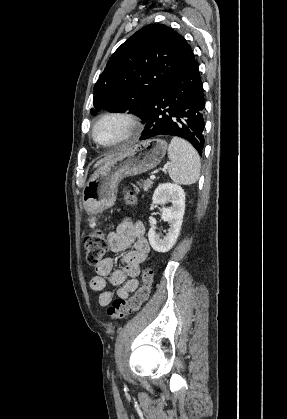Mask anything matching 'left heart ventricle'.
Instances as JSON below:
<instances>
[{"mask_svg": "<svg viewBox=\"0 0 287 419\" xmlns=\"http://www.w3.org/2000/svg\"><path fill=\"white\" fill-rule=\"evenodd\" d=\"M129 132L127 125L119 120L110 119L102 122L96 129L95 136L101 143L114 142Z\"/></svg>", "mask_w": 287, "mask_h": 419, "instance_id": "b2bd125f", "label": "left heart ventricle"}]
</instances>
